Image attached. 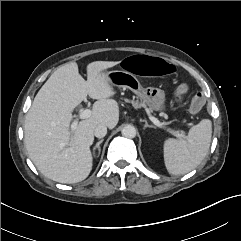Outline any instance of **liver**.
Instances as JSON below:
<instances>
[{
  "label": "liver",
  "mask_w": 241,
  "mask_h": 241,
  "mask_svg": "<svg viewBox=\"0 0 241 241\" xmlns=\"http://www.w3.org/2000/svg\"><path fill=\"white\" fill-rule=\"evenodd\" d=\"M119 61H94L87 65V81L76 62L59 67L34 98L24 124V142L36 168L47 178L66 184L86 179L92 170L90 146L94 129H113L119 121V105L111 97L113 85L105 70ZM89 96L97 101L92 114L71 135L72 111Z\"/></svg>",
  "instance_id": "liver-1"
}]
</instances>
